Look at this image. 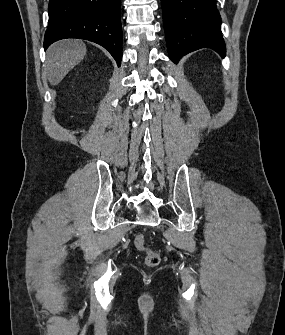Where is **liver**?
Wrapping results in <instances>:
<instances>
[{"instance_id": "1", "label": "liver", "mask_w": 285, "mask_h": 335, "mask_svg": "<svg viewBox=\"0 0 285 335\" xmlns=\"http://www.w3.org/2000/svg\"><path fill=\"white\" fill-rule=\"evenodd\" d=\"M86 54L81 40H61L50 46L47 52L46 72L51 86H57L73 70Z\"/></svg>"}]
</instances>
